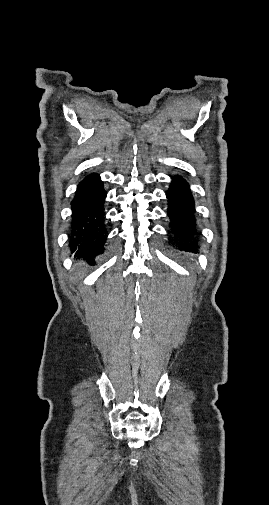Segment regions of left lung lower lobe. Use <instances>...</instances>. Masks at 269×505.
Segmentation results:
<instances>
[{"label":"left lung lower lobe","mask_w":269,"mask_h":505,"mask_svg":"<svg viewBox=\"0 0 269 505\" xmlns=\"http://www.w3.org/2000/svg\"><path fill=\"white\" fill-rule=\"evenodd\" d=\"M171 230L169 233L178 249L196 252L198 250V229L195 220L194 200L190 193L188 184L181 177H175L168 192Z\"/></svg>","instance_id":"0a47b994"}]
</instances>
